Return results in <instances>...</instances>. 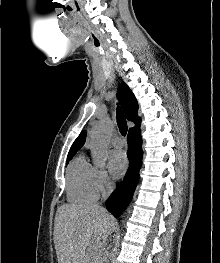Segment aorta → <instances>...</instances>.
<instances>
[{
  "mask_svg": "<svg viewBox=\"0 0 220 263\" xmlns=\"http://www.w3.org/2000/svg\"><path fill=\"white\" fill-rule=\"evenodd\" d=\"M112 131L109 120H101L91 136L92 154L95 165L105 167L108 156V139Z\"/></svg>",
  "mask_w": 220,
  "mask_h": 263,
  "instance_id": "762f6f07",
  "label": "aorta"
}]
</instances>
